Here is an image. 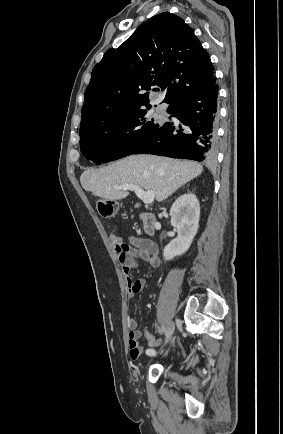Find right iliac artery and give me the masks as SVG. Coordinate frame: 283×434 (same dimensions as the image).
Instances as JSON below:
<instances>
[{
  "label": "right iliac artery",
  "instance_id": "1",
  "mask_svg": "<svg viewBox=\"0 0 283 434\" xmlns=\"http://www.w3.org/2000/svg\"><path fill=\"white\" fill-rule=\"evenodd\" d=\"M162 330H163V332L166 333V330H165L164 327H162ZM146 354L149 355V356H153V355H155V350L154 349H147L146 350Z\"/></svg>",
  "mask_w": 283,
  "mask_h": 434
}]
</instances>
